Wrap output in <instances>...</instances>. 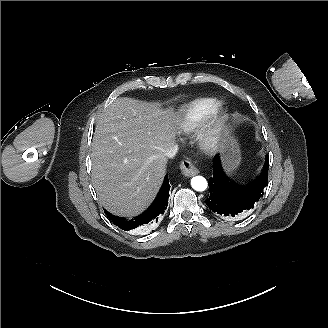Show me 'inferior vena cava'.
<instances>
[{
  "mask_svg": "<svg viewBox=\"0 0 328 328\" xmlns=\"http://www.w3.org/2000/svg\"><path fill=\"white\" fill-rule=\"evenodd\" d=\"M177 152H178V146L177 145H172L166 150L165 156L169 159H172V158L175 157Z\"/></svg>",
  "mask_w": 328,
  "mask_h": 328,
  "instance_id": "1",
  "label": "inferior vena cava"
}]
</instances>
